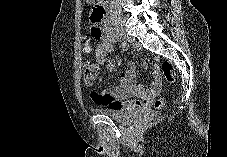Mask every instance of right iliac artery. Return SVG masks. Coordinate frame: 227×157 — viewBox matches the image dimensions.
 Wrapping results in <instances>:
<instances>
[{
	"mask_svg": "<svg viewBox=\"0 0 227 157\" xmlns=\"http://www.w3.org/2000/svg\"><path fill=\"white\" fill-rule=\"evenodd\" d=\"M112 35H113V41H118V44H123V39H121L120 36H117V34H115L114 31H112ZM121 48H122V50H128V45L124 44V45H122Z\"/></svg>",
	"mask_w": 227,
	"mask_h": 157,
	"instance_id": "82829eb1",
	"label": "right iliac artery"
}]
</instances>
